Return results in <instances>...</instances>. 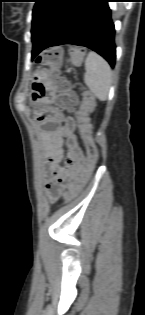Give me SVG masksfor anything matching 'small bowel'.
<instances>
[{
	"mask_svg": "<svg viewBox=\"0 0 145 315\" xmlns=\"http://www.w3.org/2000/svg\"><path fill=\"white\" fill-rule=\"evenodd\" d=\"M74 128V120L66 118L58 128L44 136L45 156L42 178L45 191L51 200H56L65 189H68L69 192L81 180L85 185L90 178V175L85 173L86 159L73 134ZM65 145L70 152L71 159H68V165L63 166L61 161ZM67 193L64 194L65 197Z\"/></svg>",
	"mask_w": 145,
	"mask_h": 315,
	"instance_id": "1",
	"label": "small bowel"
}]
</instances>
